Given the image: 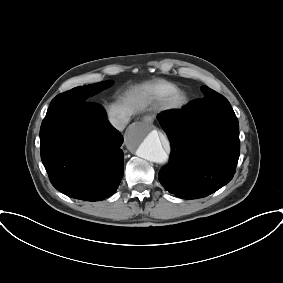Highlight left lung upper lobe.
Returning <instances> with one entry per match:
<instances>
[{"label": "left lung upper lobe", "mask_w": 283, "mask_h": 283, "mask_svg": "<svg viewBox=\"0 0 283 283\" xmlns=\"http://www.w3.org/2000/svg\"><path fill=\"white\" fill-rule=\"evenodd\" d=\"M201 90H202V92L204 93L205 96L210 95L214 92V90H212V89H210L206 86H202ZM228 127L232 128V129L239 130V124H238V120H237L236 115L230 121V123L228 124Z\"/></svg>", "instance_id": "left-lung-upper-lobe-1"}]
</instances>
